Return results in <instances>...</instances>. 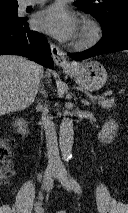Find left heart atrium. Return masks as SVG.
Segmentation results:
<instances>
[{"mask_svg": "<svg viewBox=\"0 0 128 213\" xmlns=\"http://www.w3.org/2000/svg\"><path fill=\"white\" fill-rule=\"evenodd\" d=\"M35 27L62 41H70L78 34L75 15L64 5L57 3L39 12L34 19Z\"/></svg>", "mask_w": 128, "mask_h": 213, "instance_id": "obj_1", "label": "left heart atrium"}]
</instances>
